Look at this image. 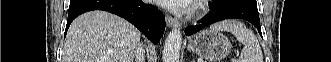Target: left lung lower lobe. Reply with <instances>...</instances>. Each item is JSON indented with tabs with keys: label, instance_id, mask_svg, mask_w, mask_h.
<instances>
[{
	"label": "left lung lower lobe",
	"instance_id": "left-lung-lower-lobe-1",
	"mask_svg": "<svg viewBox=\"0 0 331 62\" xmlns=\"http://www.w3.org/2000/svg\"><path fill=\"white\" fill-rule=\"evenodd\" d=\"M211 7L215 12L206 15L202 19V24L187 27L185 29L186 36L192 35L215 22L231 18L243 19L252 23L261 34L257 3L249 0H228L220 4L214 3Z\"/></svg>",
	"mask_w": 331,
	"mask_h": 62
}]
</instances>
